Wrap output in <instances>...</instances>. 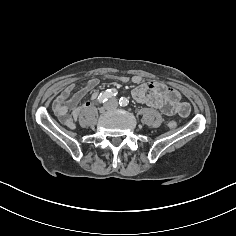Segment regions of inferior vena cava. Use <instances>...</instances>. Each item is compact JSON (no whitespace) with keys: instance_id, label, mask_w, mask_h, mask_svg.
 I'll return each mask as SVG.
<instances>
[{"instance_id":"602c4592","label":"inferior vena cava","mask_w":236,"mask_h":236,"mask_svg":"<svg viewBox=\"0 0 236 236\" xmlns=\"http://www.w3.org/2000/svg\"><path fill=\"white\" fill-rule=\"evenodd\" d=\"M105 109L107 110H114L118 107V101L115 98H110L107 102L104 104Z\"/></svg>"}]
</instances>
